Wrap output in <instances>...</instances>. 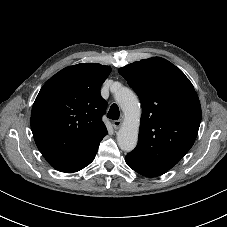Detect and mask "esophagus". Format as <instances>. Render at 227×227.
Returning <instances> with one entry per match:
<instances>
[{"label":"esophagus","instance_id":"obj_1","mask_svg":"<svg viewBox=\"0 0 227 227\" xmlns=\"http://www.w3.org/2000/svg\"><path fill=\"white\" fill-rule=\"evenodd\" d=\"M122 123H123V120L122 119L115 120L113 122V126H114L115 129H119L121 127Z\"/></svg>","mask_w":227,"mask_h":227}]
</instances>
